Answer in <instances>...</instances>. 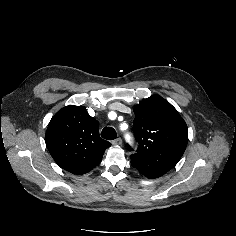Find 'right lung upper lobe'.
<instances>
[{
  "mask_svg": "<svg viewBox=\"0 0 236 236\" xmlns=\"http://www.w3.org/2000/svg\"><path fill=\"white\" fill-rule=\"evenodd\" d=\"M45 142L55 162L73 174H85L97 166L111 146L99 136L97 120L83 106L58 111L46 130Z\"/></svg>",
  "mask_w": 236,
  "mask_h": 236,
  "instance_id": "1",
  "label": "right lung upper lobe"
}]
</instances>
